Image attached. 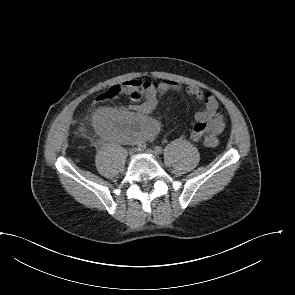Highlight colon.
I'll list each match as a JSON object with an SVG mask.
<instances>
[{
	"label": "colon",
	"instance_id": "1",
	"mask_svg": "<svg viewBox=\"0 0 295 295\" xmlns=\"http://www.w3.org/2000/svg\"><path fill=\"white\" fill-rule=\"evenodd\" d=\"M120 92H121V86H112L107 91H105L104 93L100 94L96 98V102L97 103H103V102L112 101L113 99H115L118 96V94ZM204 143L207 146L215 147V146L218 145L219 140H218L217 135L207 134L205 136V138H204Z\"/></svg>",
	"mask_w": 295,
	"mask_h": 295
}]
</instances>
